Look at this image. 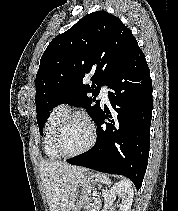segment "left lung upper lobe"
Masks as SVG:
<instances>
[{
  "label": "left lung upper lobe",
  "mask_w": 178,
  "mask_h": 211,
  "mask_svg": "<svg viewBox=\"0 0 178 211\" xmlns=\"http://www.w3.org/2000/svg\"><path fill=\"white\" fill-rule=\"evenodd\" d=\"M137 45L131 30L106 11L93 12L56 36L43 53L36 75L40 133L50 110L61 103L85 108L95 121L101 111L95 96ZM87 79L93 85L85 86Z\"/></svg>",
  "instance_id": "1"
}]
</instances>
